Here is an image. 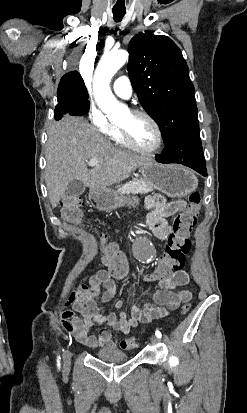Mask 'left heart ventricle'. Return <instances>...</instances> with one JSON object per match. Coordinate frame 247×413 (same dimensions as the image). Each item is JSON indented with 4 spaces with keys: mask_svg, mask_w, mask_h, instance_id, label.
I'll return each instance as SVG.
<instances>
[{
    "mask_svg": "<svg viewBox=\"0 0 247 413\" xmlns=\"http://www.w3.org/2000/svg\"><path fill=\"white\" fill-rule=\"evenodd\" d=\"M125 125H131L129 131L135 140L144 147L151 148L158 142V133L145 118H133L128 115Z\"/></svg>",
    "mask_w": 247,
    "mask_h": 413,
    "instance_id": "obj_1",
    "label": "left heart ventricle"
}]
</instances>
